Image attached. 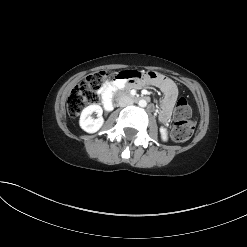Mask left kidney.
<instances>
[{"label":"left kidney","instance_id":"left-kidney-1","mask_svg":"<svg viewBox=\"0 0 247 247\" xmlns=\"http://www.w3.org/2000/svg\"><path fill=\"white\" fill-rule=\"evenodd\" d=\"M160 133H161L162 139H163L164 141H166V140H167V129L164 128V127H161V128H160Z\"/></svg>","mask_w":247,"mask_h":247}]
</instances>
